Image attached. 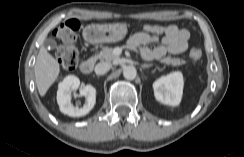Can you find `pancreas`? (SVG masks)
Returning <instances> with one entry per match:
<instances>
[{
	"label": "pancreas",
	"mask_w": 244,
	"mask_h": 157,
	"mask_svg": "<svg viewBox=\"0 0 244 157\" xmlns=\"http://www.w3.org/2000/svg\"><path fill=\"white\" fill-rule=\"evenodd\" d=\"M97 59H100L101 61H112L115 59H118L119 56L115 55L113 52V48L111 47H103L99 54L96 55ZM161 63L166 65H172V66H179L186 63L185 60H182L180 58H173L171 56H167L164 58L158 59Z\"/></svg>",
	"instance_id": "pancreas-1"
}]
</instances>
